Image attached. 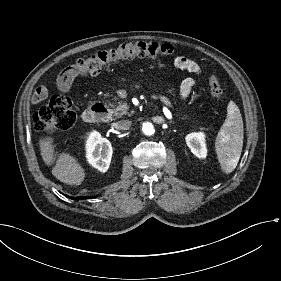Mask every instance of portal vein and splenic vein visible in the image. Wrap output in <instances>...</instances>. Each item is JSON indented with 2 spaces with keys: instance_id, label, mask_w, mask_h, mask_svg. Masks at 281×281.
<instances>
[{
  "instance_id": "obj_1",
  "label": "portal vein and splenic vein",
  "mask_w": 281,
  "mask_h": 281,
  "mask_svg": "<svg viewBox=\"0 0 281 281\" xmlns=\"http://www.w3.org/2000/svg\"><path fill=\"white\" fill-rule=\"evenodd\" d=\"M160 99H161V101L164 105L170 106L172 104V101L170 99H167V98H164V97H161ZM171 119H172V117H171ZM191 122L193 123V126L202 127V124L195 121L194 119H191Z\"/></svg>"
}]
</instances>
